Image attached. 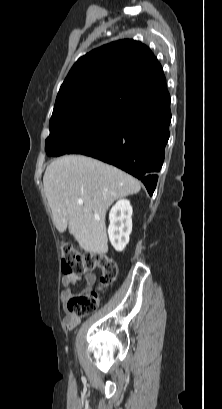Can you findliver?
Here are the masks:
<instances>
[{
    "label": "liver",
    "mask_w": 222,
    "mask_h": 409,
    "mask_svg": "<svg viewBox=\"0 0 222 409\" xmlns=\"http://www.w3.org/2000/svg\"><path fill=\"white\" fill-rule=\"evenodd\" d=\"M43 184L57 230L68 228L80 248L100 255L108 252L106 211L116 199L141 189L131 175L82 155L55 159L46 168ZM80 198L82 205L77 203Z\"/></svg>",
    "instance_id": "liver-1"
}]
</instances>
